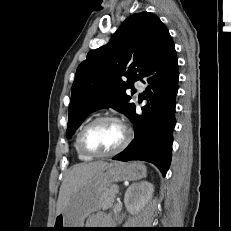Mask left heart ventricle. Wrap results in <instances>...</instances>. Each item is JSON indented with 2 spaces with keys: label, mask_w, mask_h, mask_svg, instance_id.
I'll return each mask as SVG.
<instances>
[{
  "label": "left heart ventricle",
  "mask_w": 231,
  "mask_h": 231,
  "mask_svg": "<svg viewBox=\"0 0 231 231\" xmlns=\"http://www.w3.org/2000/svg\"><path fill=\"white\" fill-rule=\"evenodd\" d=\"M124 138L122 127L112 121L92 126L85 135L86 147L96 153H105L118 147Z\"/></svg>",
  "instance_id": "left-heart-ventricle-1"
}]
</instances>
